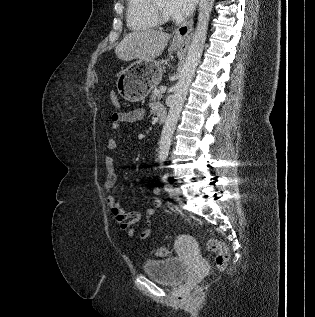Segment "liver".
Here are the masks:
<instances>
[{
	"label": "liver",
	"instance_id": "6515ba94",
	"mask_svg": "<svg viewBox=\"0 0 315 317\" xmlns=\"http://www.w3.org/2000/svg\"><path fill=\"white\" fill-rule=\"evenodd\" d=\"M169 38L168 33L161 31H134L117 45L115 54L122 61L139 59L151 62L163 53Z\"/></svg>",
	"mask_w": 315,
	"mask_h": 317
}]
</instances>
